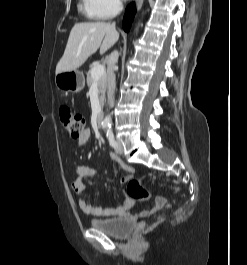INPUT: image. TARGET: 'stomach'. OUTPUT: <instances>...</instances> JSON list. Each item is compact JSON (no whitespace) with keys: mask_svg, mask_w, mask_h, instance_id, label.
<instances>
[{"mask_svg":"<svg viewBox=\"0 0 247 265\" xmlns=\"http://www.w3.org/2000/svg\"><path fill=\"white\" fill-rule=\"evenodd\" d=\"M55 85L60 91L78 93L85 86L84 74L79 70L58 73L55 76Z\"/></svg>","mask_w":247,"mask_h":265,"instance_id":"0dacf381","label":"stomach"}]
</instances>
